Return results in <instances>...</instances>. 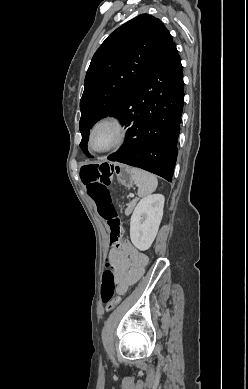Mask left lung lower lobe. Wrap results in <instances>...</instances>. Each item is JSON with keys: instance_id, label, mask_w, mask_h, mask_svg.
<instances>
[{"instance_id": "obj_1", "label": "left lung lower lobe", "mask_w": 248, "mask_h": 389, "mask_svg": "<svg viewBox=\"0 0 248 389\" xmlns=\"http://www.w3.org/2000/svg\"><path fill=\"white\" fill-rule=\"evenodd\" d=\"M183 101L182 65L174 43L115 116L130 128L121 149L108 159L142 168L171 182Z\"/></svg>"}]
</instances>
